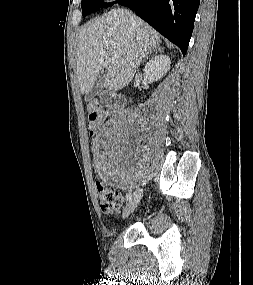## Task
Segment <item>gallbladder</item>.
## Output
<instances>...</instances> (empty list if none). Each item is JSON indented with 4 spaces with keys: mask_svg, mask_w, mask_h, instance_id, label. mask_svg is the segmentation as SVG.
Returning <instances> with one entry per match:
<instances>
[{
    "mask_svg": "<svg viewBox=\"0 0 253 285\" xmlns=\"http://www.w3.org/2000/svg\"><path fill=\"white\" fill-rule=\"evenodd\" d=\"M105 77H106V71H102L98 75L93 87L88 92V98L89 99L94 98L96 95H98L101 92V90L103 88V82H104Z\"/></svg>",
    "mask_w": 253,
    "mask_h": 285,
    "instance_id": "1",
    "label": "gallbladder"
}]
</instances>
